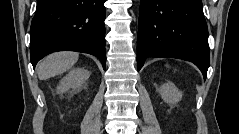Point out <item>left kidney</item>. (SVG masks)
<instances>
[{
  "mask_svg": "<svg viewBox=\"0 0 239 134\" xmlns=\"http://www.w3.org/2000/svg\"><path fill=\"white\" fill-rule=\"evenodd\" d=\"M159 94L164 102L169 105H175L182 99V92L172 82H166L161 85Z\"/></svg>",
  "mask_w": 239,
  "mask_h": 134,
  "instance_id": "left-kidney-1",
  "label": "left kidney"
}]
</instances>
